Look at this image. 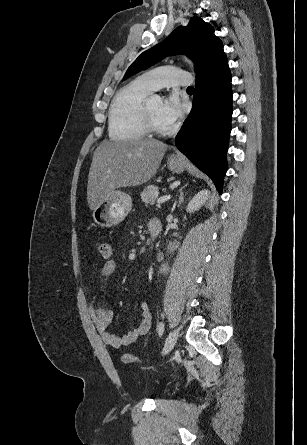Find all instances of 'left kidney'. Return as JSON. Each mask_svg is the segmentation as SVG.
I'll return each instance as SVG.
<instances>
[{"label": "left kidney", "instance_id": "left-kidney-1", "mask_svg": "<svg viewBox=\"0 0 307 445\" xmlns=\"http://www.w3.org/2000/svg\"><path fill=\"white\" fill-rule=\"evenodd\" d=\"M209 194H210V190H206V188H204V190H200V192H198V194H195V196H193L192 200H190V202H188V206H187L188 212H194V210H199L200 206H202V204H204V202H206L207 196H209Z\"/></svg>", "mask_w": 307, "mask_h": 445}]
</instances>
